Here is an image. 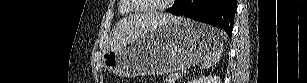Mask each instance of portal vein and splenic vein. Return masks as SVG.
<instances>
[{
	"label": "portal vein and splenic vein",
	"instance_id": "18ae733b",
	"mask_svg": "<svg viewBox=\"0 0 307 83\" xmlns=\"http://www.w3.org/2000/svg\"><path fill=\"white\" fill-rule=\"evenodd\" d=\"M175 77H176V78H180V74H178V73L175 74Z\"/></svg>",
	"mask_w": 307,
	"mask_h": 83
}]
</instances>
